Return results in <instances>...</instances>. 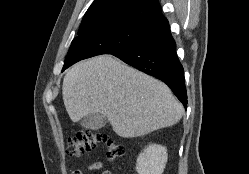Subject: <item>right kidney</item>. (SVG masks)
I'll return each instance as SVG.
<instances>
[{"instance_id":"1","label":"right kidney","mask_w":249,"mask_h":174,"mask_svg":"<svg viewBox=\"0 0 249 174\" xmlns=\"http://www.w3.org/2000/svg\"><path fill=\"white\" fill-rule=\"evenodd\" d=\"M167 159L165 147L157 144L150 145L139 154L136 171L138 174H162Z\"/></svg>"}]
</instances>
